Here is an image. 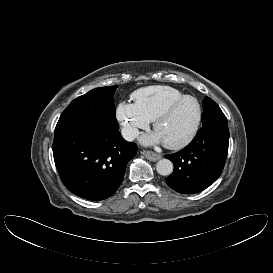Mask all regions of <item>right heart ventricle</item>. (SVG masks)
<instances>
[{"instance_id":"1","label":"right heart ventricle","mask_w":273,"mask_h":273,"mask_svg":"<svg viewBox=\"0 0 273 273\" xmlns=\"http://www.w3.org/2000/svg\"><path fill=\"white\" fill-rule=\"evenodd\" d=\"M182 96H184V93L176 88L156 85L136 90L131 98L136 108L149 121H153L166 105Z\"/></svg>"}]
</instances>
